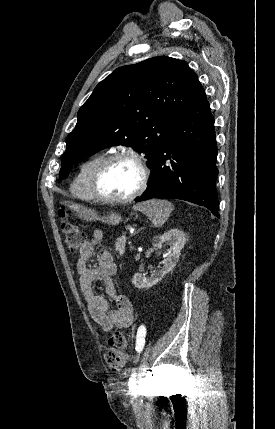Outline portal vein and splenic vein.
<instances>
[{"label": "portal vein and splenic vein", "mask_w": 275, "mask_h": 429, "mask_svg": "<svg viewBox=\"0 0 275 429\" xmlns=\"http://www.w3.org/2000/svg\"><path fill=\"white\" fill-rule=\"evenodd\" d=\"M127 229H128V230H131V228H130V227H127Z\"/></svg>", "instance_id": "portal-vein-and-splenic-vein-1"}]
</instances>
